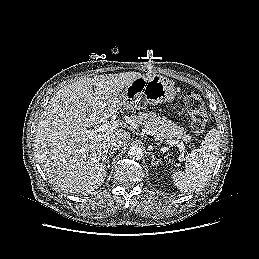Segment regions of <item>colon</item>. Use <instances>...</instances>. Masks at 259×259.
I'll return each mask as SVG.
<instances>
[{
	"instance_id": "obj_1",
	"label": "colon",
	"mask_w": 259,
	"mask_h": 259,
	"mask_svg": "<svg viewBox=\"0 0 259 259\" xmlns=\"http://www.w3.org/2000/svg\"><path fill=\"white\" fill-rule=\"evenodd\" d=\"M180 99L190 113L193 132H203L207 123V114L202 98L196 93L185 92L180 95Z\"/></svg>"
}]
</instances>
